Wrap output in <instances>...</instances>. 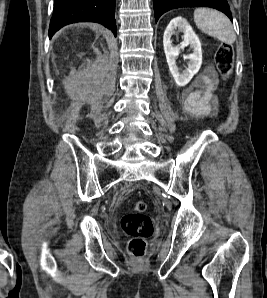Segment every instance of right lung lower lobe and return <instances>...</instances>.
<instances>
[{"instance_id":"right-lung-lower-lobe-1","label":"right lung lower lobe","mask_w":267,"mask_h":298,"mask_svg":"<svg viewBox=\"0 0 267 298\" xmlns=\"http://www.w3.org/2000/svg\"><path fill=\"white\" fill-rule=\"evenodd\" d=\"M115 0H54L49 38L65 25L97 22L116 36Z\"/></svg>"}]
</instances>
